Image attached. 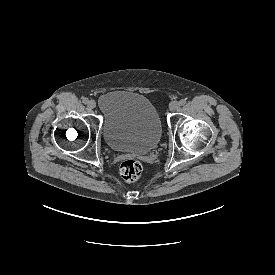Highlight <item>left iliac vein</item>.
<instances>
[{
    "mask_svg": "<svg viewBox=\"0 0 275 275\" xmlns=\"http://www.w3.org/2000/svg\"><path fill=\"white\" fill-rule=\"evenodd\" d=\"M180 107V104L177 101H172L169 105L170 111H177Z\"/></svg>",
    "mask_w": 275,
    "mask_h": 275,
    "instance_id": "obj_1",
    "label": "left iliac vein"
}]
</instances>
